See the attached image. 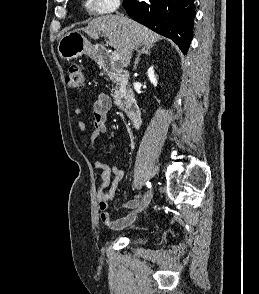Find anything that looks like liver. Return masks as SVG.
Here are the masks:
<instances>
[{
  "mask_svg": "<svg viewBox=\"0 0 259 294\" xmlns=\"http://www.w3.org/2000/svg\"><path fill=\"white\" fill-rule=\"evenodd\" d=\"M81 30L94 39H97L101 34L108 37L109 45L119 53L123 67L130 64L132 46L137 48L153 45L161 39L157 33L121 15L97 17Z\"/></svg>",
  "mask_w": 259,
  "mask_h": 294,
  "instance_id": "obj_1",
  "label": "liver"
}]
</instances>
